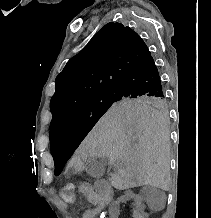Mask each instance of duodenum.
Instances as JSON below:
<instances>
[{"mask_svg":"<svg viewBox=\"0 0 211 218\" xmlns=\"http://www.w3.org/2000/svg\"><path fill=\"white\" fill-rule=\"evenodd\" d=\"M95 187L101 194L104 203L108 204L111 201L113 195L110 184L106 180L101 179L95 182Z\"/></svg>","mask_w":211,"mask_h":218,"instance_id":"410a0bca","label":"duodenum"}]
</instances>
